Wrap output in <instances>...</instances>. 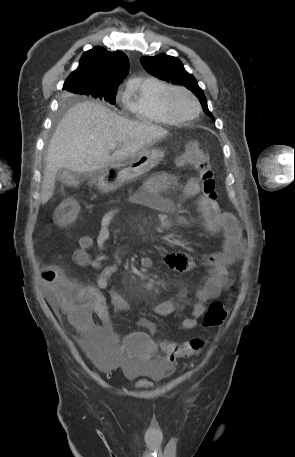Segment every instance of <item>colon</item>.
Instances as JSON below:
<instances>
[{"label":"colon","instance_id":"obj_1","mask_svg":"<svg viewBox=\"0 0 295 457\" xmlns=\"http://www.w3.org/2000/svg\"><path fill=\"white\" fill-rule=\"evenodd\" d=\"M178 162L182 166H191L197 172L201 183L202 196L211 202H216L215 178L209 155L203 151L198 142L190 140L180 155ZM79 208L74 201H65L55 213V219L60 225H68L78 215ZM45 273L54 278V292L60 307L65 310L70 319H78L84 310L86 299L83 287L65 276L57 266H48ZM227 317L226 306L219 301L212 302L204 314V323L208 327H218ZM150 330H129L123 334V341L117 346L118 357L128 363H147L160 360L172 363L198 353L204 346L202 338L180 341L179 345L167 342L159 349L156 341H151Z\"/></svg>","mask_w":295,"mask_h":457}]
</instances>
